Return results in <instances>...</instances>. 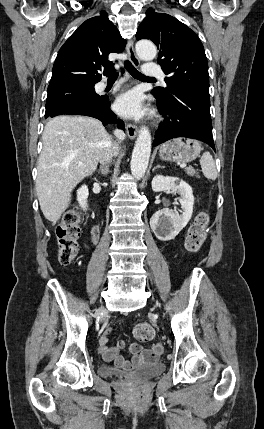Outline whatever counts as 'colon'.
<instances>
[{
  "mask_svg": "<svg viewBox=\"0 0 264 429\" xmlns=\"http://www.w3.org/2000/svg\"><path fill=\"white\" fill-rule=\"evenodd\" d=\"M81 217L77 211L67 212L62 223L57 227L58 257L62 265H69L73 262L78 253V239L81 236ZM208 215L200 212L194 222L190 225L185 239V248L189 252H197L205 238ZM134 337L139 342L150 341L154 336L152 326L146 322L139 323L134 328Z\"/></svg>",
  "mask_w": 264,
  "mask_h": 429,
  "instance_id": "obj_1",
  "label": "colon"
}]
</instances>
